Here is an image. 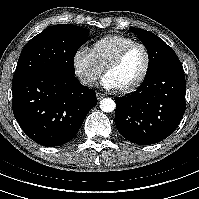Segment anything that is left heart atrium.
I'll return each mask as SVG.
<instances>
[{
    "label": "left heart atrium",
    "mask_w": 199,
    "mask_h": 199,
    "mask_svg": "<svg viewBox=\"0 0 199 199\" xmlns=\"http://www.w3.org/2000/svg\"><path fill=\"white\" fill-rule=\"evenodd\" d=\"M102 86L106 89H109V90L115 89L114 86L112 85V83L109 81V79L105 76L102 79Z\"/></svg>",
    "instance_id": "left-heart-atrium-1"
}]
</instances>
